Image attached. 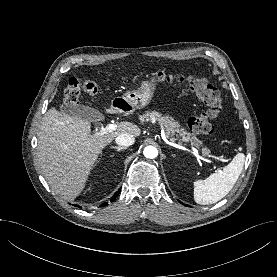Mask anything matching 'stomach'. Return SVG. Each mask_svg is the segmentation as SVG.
<instances>
[{
	"instance_id": "stomach-1",
	"label": "stomach",
	"mask_w": 277,
	"mask_h": 277,
	"mask_svg": "<svg viewBox=\"0 0 277 277\" xmlns=\"http://www.w3.org/2000/svg\"><path fill=\"white\" fill-rule=\"evenodd\" d=\"M158 82L157 77L142 81L138 90L128 91L121 97H115L111 102V106L126 113L144 108L152 100Z\"/></svg>"
}]
</instances>
